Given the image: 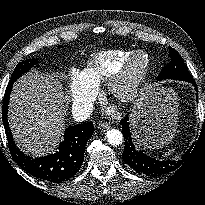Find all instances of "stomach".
I'll use <instances>...</instances> for the list:
<instances>
[{
    "label": "stomach",
    "mask_w": 205,
    "mask_h": 205,
    "mask_svg": "<svg viewBox=\"0 0 205 205\" xmlns=\"http://www.w3.org/2000/svg\"><path fill=\"white\" fill-rule=\"evenodd\" d=\"M178 99L165 88H145L133 107L132 129L140 146L162 148L172 141L178 127Z\"/></svg>",
    "instance_id": "1"
}]
</instances>
